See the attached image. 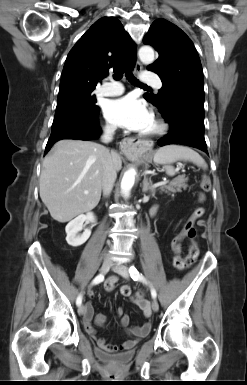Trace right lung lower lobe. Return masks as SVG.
Returning <instances> with one entry per match:
<instances>
[{"label": "right lung lower lobe", "instance_id": "1", "mask_svg": "<svg viewBox=\"0 0 247 385\" xmlns=\"http://www.w3.org/2000/svg\"><path fill=\"white\" fill-rule=\"evenodd\" d=\"M98 113L94 115H74L53 123L52 132L45 148V154L51 146L61 139L91 140L101 133L98 125Z\"/></svg>", "mask_w": 247, "mask_h": 385}]
</instances>
